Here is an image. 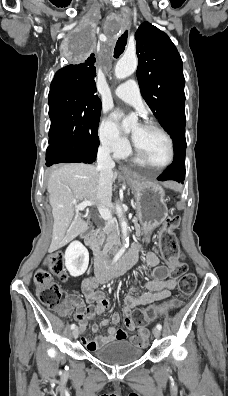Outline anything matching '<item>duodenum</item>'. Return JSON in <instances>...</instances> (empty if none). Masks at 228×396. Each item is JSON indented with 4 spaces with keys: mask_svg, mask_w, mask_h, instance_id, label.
I'll return each instance as SVG.
<instances>
[{
    "mask_svg": "<svg viewBox=\"0 0 228 396\" xmlns=\"http://www.w3.org/2000/svg\"><path fill=\"white\" fill-rule=\"evenodd\" d=\"M85 243L93 251L96 274H98L99 276H102L104 278V280L109 281L110 279H112L114 277L122 275L126 270H128L135 263L134 258L125 256L113 268H111L110 270H106L105 269L106 268V258H105L106 251L102 250L99 247L98 242H97V233L95 231H91L88 234H86Z\"/></svg>",
    "mask_w": 228,
    "mask_h": 396,
    "instance_id": "1",
    "label": "duodenum"
}]
</instances>
